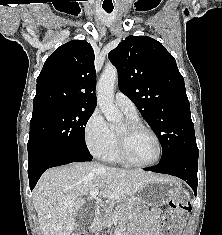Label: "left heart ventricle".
I'll return each mask as SVG.
<instances>
[{
    "instance_id": "obj_1",
    "label": "left heart ventricle",
    "mask_w": 222,
    "mask_h": 235,
    "mask_svg": "<svg viewBox=\"0 0 222 235\" xmlns=\"http://www.w3.org/2000/svg\"><path fill=\"white\" fill-rule=\"evenodd\" d=\"M118 131H125V123L118 129ZM129 153L134 161L139 163H148L156 158L158 154V145L151 134L146 131H139L130 139Z\"/></svg>"
}]
</instances>
